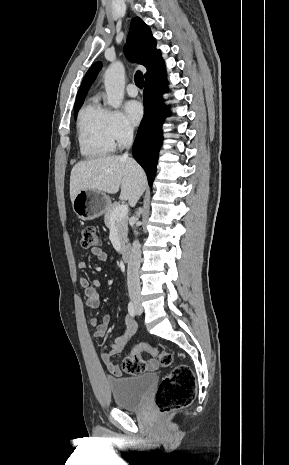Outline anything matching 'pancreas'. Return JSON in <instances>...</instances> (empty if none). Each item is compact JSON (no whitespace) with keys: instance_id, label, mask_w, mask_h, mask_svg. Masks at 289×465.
Masks as SVG:
<instances>
[{"instance_id":"pancreas-1","label":"pancreas","mask_w":289,"mask_h":465,"mask_svg":"<svg viewBox=\"0 0 289 465\" xmlns=\"http://www.w3.org/2000/svg\"><path fill=\"white\" fill-rule=\"evenodd\" d=\"M119 206H120V204L117 203V202H115L113 204H110L108 206V208L105 211L104 222H105V225L108 228H110L112 226V223H114V226H115V228L117 230V233H118V238H119L120 244H121L122 248H124L125 244L128 242V239H127L128 218L125 217V218H123L122 220H119V221H112L111 220V215H112L113 211Z\"/></svg>"}]
</instances>
